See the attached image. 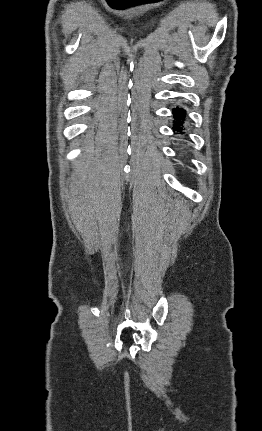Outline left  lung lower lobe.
Returning a JSON list of instances; mask_svg holds the SVG:
<instances>
[{"instance_id": "1", "label": "left lung lower lobe", "mask_w": 262, "mask_h": 431, "mask_svg": "<svg viewBox=\"0 0 262 431\" xmlns=\"http://www.w3.org/2000/svg\"><path fill=\"white\" fill-rule=\"evenodd\" d=\"M174 119L176 120L173 124L174 130L177 132V134L183 135L184 134V128L183 123L186 118V112L182 108H174L173 109Z\"/></svg>"}]
</instances>
